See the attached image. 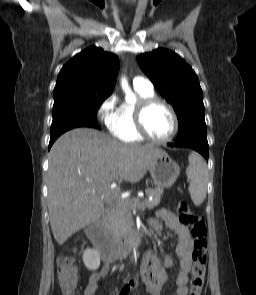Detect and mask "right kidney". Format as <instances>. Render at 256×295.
Masks as SVG:
<instances>
[{
	"label": "right kidney",
	"mask_w": 256,
	"mask_h": 295,
	"mask_svg": "<svg viewBox=\"0 0 256 295\" xmlns=\"http://www.w3.org/2000/svg\"><path fill=\"white\" fill-rule=\"evenodd\" d=\"M84 265L89 270H97L100 266V254L97 250L87 248L83 253Z\"/></svg>",
	"instance_id": "right-kidney-1"
}]
</instances>
